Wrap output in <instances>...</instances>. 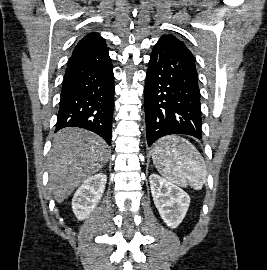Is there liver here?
Segmentation results:
<instances>
[{
	"label": "liver",
	"mask_w": 267,
	"mask_h": 270,
	"mask_svg": "<svg viewBox=\"0 0 267 270\" xmlns=\"http://www.w3.org/2000/svg\"><path fill=\"white\" fill-rule=\"evenodd\" d=\"M110 150L98 135L80 128H64L53 140L48 159L49 188L61 203L108 162Z\"/></svg>",
	"instance_id": "1"
}]
</instances>
